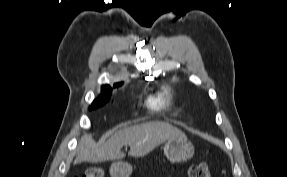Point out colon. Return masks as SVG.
Returning a JSON list of instances; mask_svg holds the SVG:
<instances>
[{
	"label": "colon",
	"mask_w": 287,
	"mask_h": 177,
	"mask_svg": "<svg viewBox=\"0 0 287 177\" xmlns=\"http://www.w3.org/2000/svg\"><path fill=\"white\" fill-rule=\"evenodd\" d=\"M105 172L101 167L89 168L84 175L80 177H104ZM189 177H212L210 166L201 162L194 164L189 169Z\"/></svg>",
	"instance_id": "1"
}]
</instances>
